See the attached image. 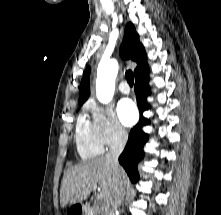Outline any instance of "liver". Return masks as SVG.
I'll return each mask as SVG.
<instances>
[{
  "label": "liver",
  "instance_id": "6515ba94",
  "mask_svg": "<svg viewBox=\"0 0 221 215\" xmlns=\"http://www.w3.org/2000/svg\"><path fill=\"white\" fill-rule=\"evenodd\" d=\"M120 172L125 183L126 174L121 167ZM114 185L113 170L106 157L82 162L65 173L60 188V205L64 208L67 204L82 203L94 186L101 190L99 197L106 202L113 195Z\"/></svg>",
  "mask_w": 221,
  "mask_h": 215
}]
</instances>
